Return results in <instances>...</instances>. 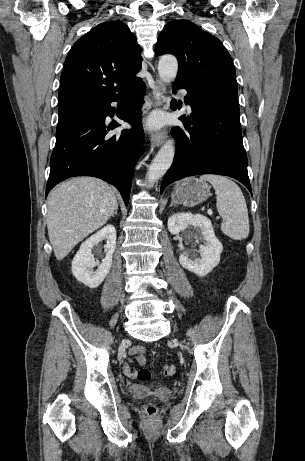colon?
<instances>
[{"instance_id": "obj_1", "label": "colon", "mask_w": 305, "mask_h": 461, "mask_svg": "<svg viewBox=\"0 0 305 461\" xmlns=\"http://www.w3.org/2000/svg\"><path fill=\"white\" fill-rule=\"evenodd\" d=\"M163 374L165 376H173L176 374V367L173 364H167L163 367ZM137 378L141 382H148L152 378V373L147 368H141L137 373ZM144 413L149 416L153 417L157 413V408L154 404L148 403L143 407Z\"/></svg>"}]
</instances>
